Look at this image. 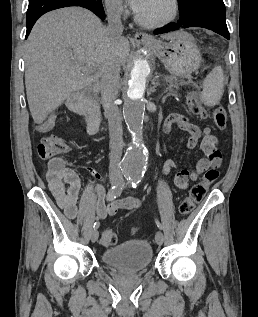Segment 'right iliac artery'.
I'll list each match as a JSON object with an SVG mask.
<instances>
[{
  "instance_id": "1",
  "label": "right iliac artery",
  "mask_w": 258,
  "mask_h": 317,
  "mask_svg": "<svg viewBox=\"0 0 258 317\" xmlns=\"http://www.w3.org/2000/svg\"><path fill=\"white\" fill-rule=\"evenodd\" d=\"M122 190H123V186H119V185L112 186L107 193V201L111 202L114 199H116L117 197H119L122 193ZM99 225H100V223L98 221H96L93 225V228L97 229L99 227Z\"/></svg>"
}]
</instances>
